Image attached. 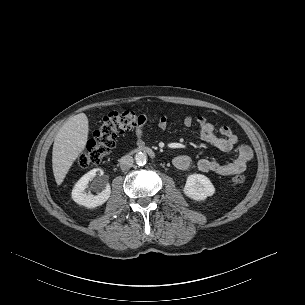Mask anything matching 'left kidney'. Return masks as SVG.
<instances>
[{
	"label": "left kidney",
	"instance_id": "1",
	"mask_svg": "<svg viewBox=\"0 0 305 305\" xmlns=\"http://www.w3.org/2000/svg\"><path fill=\"white\" fill-rule=\"evenodd\" d=\"M184 194L196 201L205 200L215 193V188L210 179L202 174H191L187 177Z\"/></svg>",
	"mask_w": 305,
	"mask_h": 305
}]
</instances>
